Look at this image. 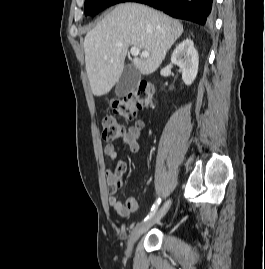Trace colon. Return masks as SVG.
<instances>
[{"label": "colon", "instance_id": "5ec220e1", "mask_svg": "<svg viewBox=\"0 0 265 269\" xmlns=\"http://www.w3.org/2000/svg\"><path fill=\"white\" fill-rule=\"evenodd\" d=\"M153 94V85L148 81H141L135 90L114 101L112 110L125 120H133L139 110L151 106ZM102 126V137L106 142H112L126 134L124 125L117 121L114 116H105L102 120Z\"/></svg>", "mask_w": 265, "mask_h": 269}]
</instances>
